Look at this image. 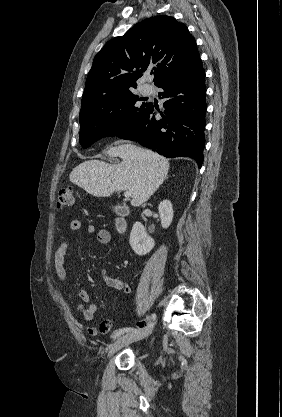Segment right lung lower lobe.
<instances>
[{
    "instance_id": "1",
    "label": "right lung lower lobe",
    "mask_w": 282,
    "mask_h": 417,
    "mask_svg": "<svg viewBox=\"0 0 282 417\" xmlns=\"http://www.w3.org/2000/svg\"><path fill=\"white\" fill-rule=\"evenodd\" d=\"M159 93L167 100L163 103L165 116L156 119V108L148 103L132 127L116 136L139 142L168 157H190L201 168L205 144L204 127L205 73L201 59L183 67L162 80Z\"/></svg>"
}]
</instances>
